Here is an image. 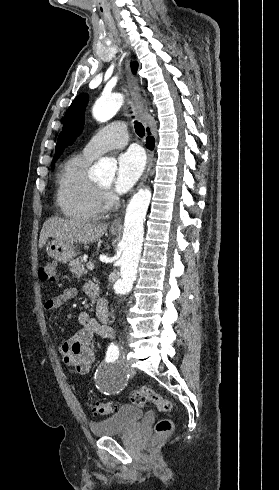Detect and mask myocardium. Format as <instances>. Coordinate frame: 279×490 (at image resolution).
<instances>
[{
  "label": "myocardium",
  "mask_w": 279,
  "mask_h": 490,
  "mask_svg": "<svg viewBox=\"0 0 279 490\" xmlns=\"http://www.w3.org/2000/svg\"><path fill=\"white\" fill-rule=\"evenodd\" d=\"M101 195V202L107 209L112 208L115 205V200L111 196L108 187L98 186Z\"/></svg>",
  "instance_id": "obj_1"
}]
</instances>
